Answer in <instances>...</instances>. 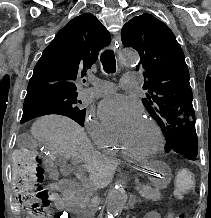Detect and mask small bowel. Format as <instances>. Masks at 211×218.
I'll use <instances>...</instances> for the list:
<instances>
[{"label":"small bowel","instance_id":"c3829d8e","mask_svg":"<svg viewBox=\"0 0 211 218\" xmlns=\"http://www.w3.org/2000/svg\"><path fill=\"white\" fill-rule=\"evenodd\" d=\"M49 189L51 190L50 201L54 203L58 210L63 211L66 207L64 199L59 193L60 190L58 188V183L50 184ZM144 218H161V215L157 211H150ZM166 218H174V216L172 214H168Z\"/></svg>","mask_w":211,"mask_h":218}]
</instances>
